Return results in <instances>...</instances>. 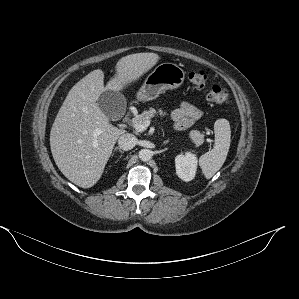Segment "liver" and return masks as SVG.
<instances>
[{
    "label": "liver",
    "mask_w": 299,
    "mask_h": 299,
    "mask_svg": "<svg viewBox=\"0 0 299 299\" xmlns=\"http://www.w3.org/2000/svg\"><path fill=\"white\" fill-rule=\"evenodd\" d=\"M160 59L155 53L122 57L116 74L104 86V73L93 70L77 82L64 100L50 131L53 159L62 174L82 188L101 178L114 145L125 130L109 123L97 100L107 89L121 91L138 80Z\"/></svg>",
    "instance_id": "1"
}]
</instances>
